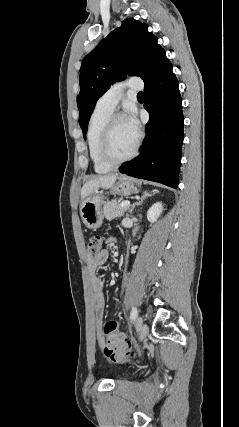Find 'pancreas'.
Segmentation results:
<instances>
[{"label": "pancreas", "instance_id": "pancreas-1", "mask_svg": "<svg viewBox=\"0 0 239 427\" xmlns=\"http://www.w3.org/2000/svg\"><path fill=\"white\" fill-rule=\"evenodd\" d=\"M128 210V207H120L119 203L114 200L112 202H107L103 207V217L106 220L111 221L114 218L124 216V213Z\"/></svg>", "mask_w": 239, "mask_h": 427}]
</instances>
